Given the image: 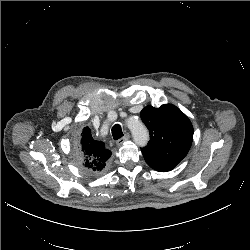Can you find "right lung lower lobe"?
<instances>
[{
    "mask_svg": "<svg viewBox=\"0 0 250 250\" xmlns=\"http://www.w3.org/2000/svg\"><path fill=\"white\" fill-rule=\"evenodd\" d=\"M84 169L92 175H100L104 171V169L103 170H93V169H90L87 167H84Z\"/></svg>",
    "mask_w": 250,
    "mask_h": 250,
    "instance_id": "1",
    "label": "right lung lower lobe"
}]
</instances>
